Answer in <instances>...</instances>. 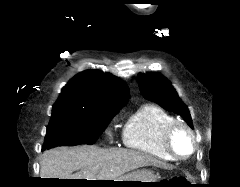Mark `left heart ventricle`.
<instances>
[{"label":"left heart ventricle","mask_w":240,"mask_h":187,"mask_svg":"<svg viewBox=\"0 0 240 187\" xmlns=\"http://www.w3.org/2000/svg\"><path fill=\"white\" fill-rule=\"evenodd\" d=\"M176 146L179 151L186 153L189 151V142L185 135L180 134L176 137Z\"/></svg>","instance_id":"b2bd125f"}]
</instances>
